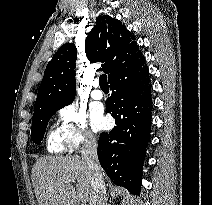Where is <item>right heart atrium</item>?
I'll list each match as a JSON object with an SVG mask.
<instances>
[{
	"mask_svg": "<svg viewBox=\"0 0 212 205\" xmlns=\"http://www.w3.org/2000/svg\"><path fill=\"white\" fill-rule=\"evenodd\" d=\"M58 134L65 146L76 150L95 142L85 111L76 104H67L58 111Z\"/></svg>",
	"mask_w": 212,
	"mask_h": 205,
	"instance_id": "1",
	"label": "right heart atrium"
}]
</instances>
